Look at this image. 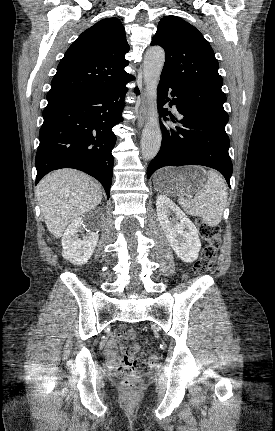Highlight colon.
Returning <instances> with one entry per match:
<instances>
[{
    "label": "colon",
    "instance_id": "colon-1",
    "mask_svg": "<svg viewBox=\"0 0 275 431\" xmlns=\"http://www.w3.org/2000/svg\"><path fill=\"white\" fill-rule=\"evenodd\" d=\"M198 231L200 236L208 242L202 251L201 258L194 265V272L197 275H204L212 269L217 258V251L221 243L220 229L218 226L207 224L203 220L197 221ZM127 336L134 339L137 333L134 330H129ZM140 349L138 344L131 347L133 352H138ZM158 362L156 355H150L147 361L144 358H136L131 362H124L118 368V374L122 377L123 387L127 392L135 393L142 387L141 371L147 366H155Z\"/></svg>",
    "mask_w": 275,
    "mask_h": 431
}]
</instances>
